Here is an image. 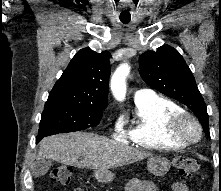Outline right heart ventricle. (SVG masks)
Wrapping results in <instances>:
<instances>
[{
  "instance_id": "1",
  "label": "right heart ventricle",
  "mask_w": 221,
  "mask_h": 191,
  "mask_svg": "<svg viewBox=\"0 0 221 191\" xmlns=\"http://www.w3.org/2000/svg\"><path fill=\"white\" fill-rule=\"evenodd\" d=\"M136 115L125 131V137L135 146L144 149H181L188 143L169 134L170 120L183 112L173 100L155 95L144 102H135Z\"/></svg>"
}]
</instances>
